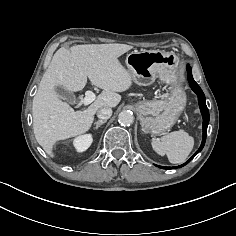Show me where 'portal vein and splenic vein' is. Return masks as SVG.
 <instances>
[{"label":"portal vein and splenic vein","instance_id":"portal-vein-and-splenic-vein-1","mask_svg":"<svg viewBox=\"0 0 236 236\" xmlns=\"http://www.w3.org/2000/svg\"><path fill=\"white\" fill-rule=\"evenodd\" d=\"M94 100H95V94L90 90L86 91L85 98L83 99V104L87 106L90 103H92Z\"/></svg>","mask_w":236,"mask_h":236}]
</instances>
